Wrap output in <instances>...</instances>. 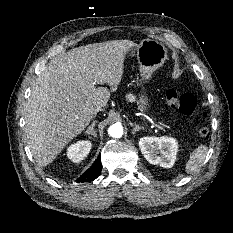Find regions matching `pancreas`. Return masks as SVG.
<instances>
[{
  "instance_id": "1",
  "label": "pancreas",
  "mask_w": 233,
  "mask_h": 233,
  "mask_svg": "<svg viewBox=\"0 0 233 233\" xmlns=\"http://www.w3.org/2000/svg\"><path fill=\"white\" fill-rule=\"evenodd\" d=\"M126 99H127L128 101H135L136 97H135L132 93H128V94L126 95Z\"/></svg>"
}]
</instances>
